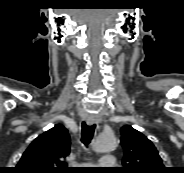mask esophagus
<instances>
[{"label": "esophagus", "mask_w": 184, "mask_h": 173, "mask_svg": "<svg viewBox=\"0 0 184 173\" xmlns=\"http://www.w3.org/2000/svg\"><path fill=\"white\" fill-rule=\"evenodd\" d=\"M100 117L98 115H90L86 118V122L89 125H92L94 123H98L100 121Z\"/></svg>", "instance_id": "34e87169"}]
</instances>
